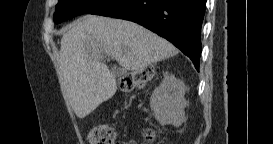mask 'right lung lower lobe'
Instances as JSON below:
<instances>
[{"mask_svg":"<svg viewBox=\"0 0 273 144\" xmlns=\"http://www.w3.org/2000/svg\"><path fill=\"white\" fill-rule=\"evenodd\" d=\"M206 0H109L91 14L136 22L172 42L199 70Z\"/></svg>","mask_w":273,"mask_h":144,"instance_id":"98d812e1","label":"right lung lower lobe"}]
</instances>
